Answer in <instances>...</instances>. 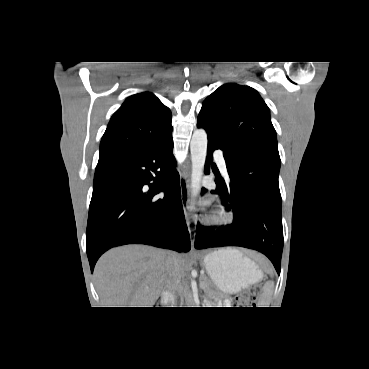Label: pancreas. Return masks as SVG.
Masks as SVG:
<instances>
[{"label": "pancreas", "instance_id": "cf45deb5", "mask_svg": "<svg viewBox=\"0 0 369 369\" xmlns=\"http://www.w3.org/2000/svg\"><path fill=\"white\" fill-rule=\"evenodd\" d=\"M200 284H201V288H202L204 291H206V292H207V291L209 290L210 282H209V280H208V279H206V278L201 279Z\"/></svg>", "mask_w": 369, "mask_h": 369}]
</instances>
